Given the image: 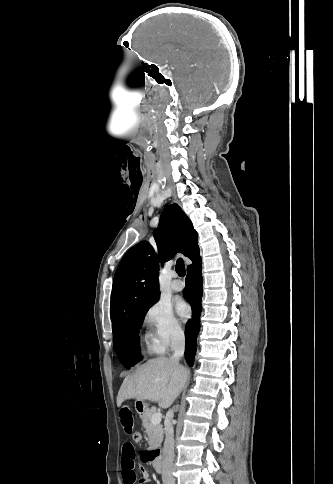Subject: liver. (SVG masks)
<instances>
[{"label":"liver","mask_w":333,"mask_h":484,"mask_svg":"<svg viewBox=\"0 0 333 484\" xmlns=\"http://www.w3.org/2000/svg\"><path fill=\"white\" fill-rule=\"evenodd\" d=\"M187 378L179 360L158 357L146 361L134 374L126 376L117 395V406L127 399L157 402L166 409L177 398Z\"/></svg>","instance_id":"liver-1"}]
</instances>
